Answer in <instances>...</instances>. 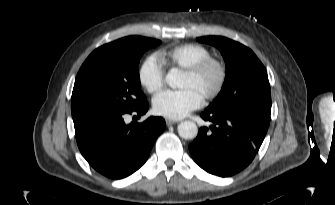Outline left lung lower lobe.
I'll list each match as a JSON object with an SVG mask.
<instances>
[{
    "instance_id": "1",
    "label": "left lung lower lobe",
    "mask_w": 335,
    "mask_h": 205,
    "mask_svg": "<svg viewBox=\"0 0 335 205\" xmlns=\"http://www.w3.org/2000/svg\"><path fill=\"white\" fill-rule=\"evenodd\" d=\"M211 123L189 146L194 161L220 177L232 176L254 159L267 133L270 116L251 109L205 110Z\"/></svg>"
}]
</instances>
